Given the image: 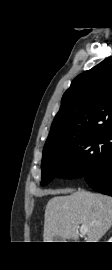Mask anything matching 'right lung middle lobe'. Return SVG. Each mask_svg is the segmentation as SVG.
<instances>
[{
	"label": "right lung middle lobe",
	"instance_id": "dd1d6c3e",
	"mask_svg": "<svg viewBox=\"0 0 112 270\" xmlns=\"http://www.w3.org/2000/svg\"><path fill=\"white\" fill-rule=\"evenodd\" d=\"M112 147V125L103 126L65 143L44 148L41 185L55 177L78 178L98 169Z\"/></svg>",
	"mask_w": 112,
	"mask_h": 270
}]
</instances>
